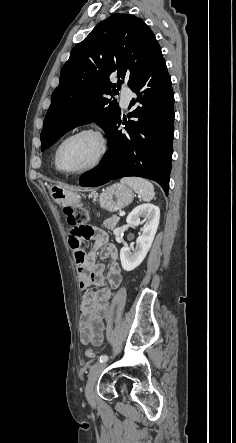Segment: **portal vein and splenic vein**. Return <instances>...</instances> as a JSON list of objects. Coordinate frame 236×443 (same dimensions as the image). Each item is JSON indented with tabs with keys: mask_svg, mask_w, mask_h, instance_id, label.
<instances>
[{
	"mask_svg": "<svg viewBox=\"0 0 236 443\" xmlns=\"http://www.w3.org/2000/svg\"><path fill=\"white\" fill-rule=\"evenodd\" d=\"M119 215H120V216H124V215H125V212H120Z\"/></svg>",
	"mask_w": 236,
	"mask_h": 443,
	"instance_id": "1",
	"label": "portal vein and splenic vein"
}]
</instances>
